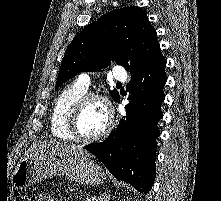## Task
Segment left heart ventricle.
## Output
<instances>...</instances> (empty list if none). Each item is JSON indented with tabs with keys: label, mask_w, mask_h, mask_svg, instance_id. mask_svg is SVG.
Listing matches in <instances>:
<instances>
[{
	"label": "left heart ventricle",
	"mask_w": 221,
	"mask_h": 201,
	"mask_svg": "<svg viewBox=\"0 0 221 201\" xmlns=\"http://www.w3.org/2000/svg\"><path fill=\"white\" fill-rule=\"evenodd\" d=\"M108 116L104 104L100 101H90L81 113L78 129L83 136H95L106 127Z\"/></svg>",
	"instance_id": "b2bd125f"
}]
</instances>
